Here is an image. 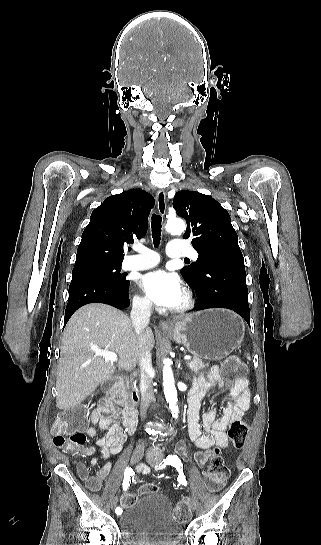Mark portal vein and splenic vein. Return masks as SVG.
Listing matches in <instances>:
<instances>
[{"instance_id": "obj_1", "label": "portal vein and splenic vein", "mask_w": 321, "mask_h": 545, "mask_svg": "<svg viewBox=\"0 0 321 545\" xmlns=\"http://www.w3.org/2000/svg\"><path fill=\"white\" fill-rule=\"evenodd\" d=\"M95 355H99V357H104V359H107V361H110V363H115V361H118V357L116 353H110V351H96L94 349ZM191 358V355H185L183 357V360H189Z\"/></svg>"}]
</instances>
